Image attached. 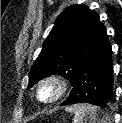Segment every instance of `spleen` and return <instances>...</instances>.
I'll return each mask as SVG.
<instances>
[{
	"mask_svg": "<svg viewBox=\"0 0 122 123\" xmlns=\"http://www.w3.org/2000/svg\"><path fill=\"white\" fill-rule=\"evenodd\" d=\"M74 113L73 123H106V119L98 120L100 112L96 106L89 104H77L66 109Z\"/></svg>",
	"mask_w": 122,
	"mask_h": 123,
	"instance_id": "spleen-1",
	"label": "spleen"
}]
</instances>
